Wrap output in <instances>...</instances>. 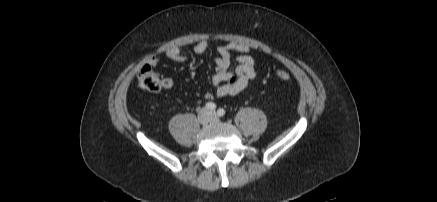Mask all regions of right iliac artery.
Masks as SVG:
<instances>
[{"label":"right iliac artery","instance_id":"obj_1","mask_svg":"<svg viewBox=\"0 0 437 202\" xmlns=\"http://www.w3.org/2000/svg\"><path fill=\"white\" fill-rule=\"evenodd\" d=\"M206 109L210 110V111H214L216 109V104L213 102H207L205 104Z\"/></svg>","mask_w":437,"mask_h":202}]
</instances>
